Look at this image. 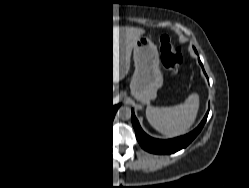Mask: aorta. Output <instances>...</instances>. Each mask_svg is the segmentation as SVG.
Returning a JSON list of instances; mask_svg holds the SVG:
<instances>
[{"label":"aorta","mask_w":249,"mask_h":188,"mask_svg":"<svg viewBox=\"0 0 249 188\" xmlns=\"http://www.w3.org/2000/svg\"><path fill=\"white\" fill-rule=\"evenodd\" d=\"M117 115L122 120L129 119L131 117V110L128 107H122L118 110Z\"/></svg>","instance_id":"1"}]
</instances>
